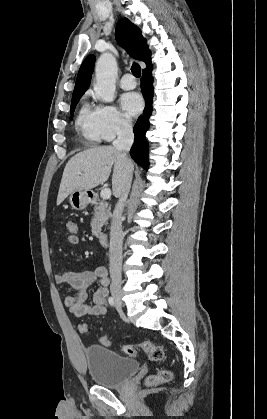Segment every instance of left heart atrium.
<instances>
[{
    "instance_id": "1",
    "label": "left heart atrium",
    "mask_w": 267,
    "mask_h": 419,
    "mask_svg": "<svg viewBox=\"0 0 267 419\" xmlns=\"http://www.w3.org/2000/svg\"><path fill=\"white\" fill-rule=\"evenodd\" d=\"M121 105L126 114L136 116L143 109V99L136 92H128L122 95Z\"/></svg>"
}]
</instances>
